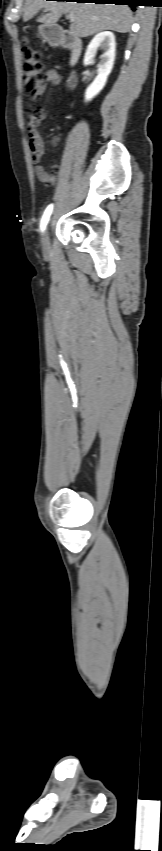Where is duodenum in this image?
<instances>
[{
  "label": "duodenum",
  "mask_w": 162,
  "mask_h": 851,
  "mask_svg": "<svg viewBox=\"0 0 162 851\" xmlns=\"http://www.w3.org/2000/svg\"><path fill=\"white\" fill-rule=\"evenodd\" d=\"M48 37L52 45L62 46L70 50V61L72 64L77 62L81 54L82 46L80 40L76 36L64 30L52 29L49 32Z\"/></svg>",
  "instance_id": "410a0bca"
}]
</instances>
